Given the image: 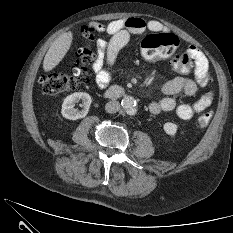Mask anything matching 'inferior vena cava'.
Listing matches in <instances>:
<instances>
[{
    "label": "inferior vena cava",
    "instance_id": "1",
    "mask_svg": "<svg viewBox=\"0 0 233 233\" xmlns=\"http://www.w3.org/2000/svg\"><path fill=\"white\" fill-rule=\"evenodd\" d=\"M120 109V104L116 100H111L105 105V110L108 113H116Z\"/></svg>",
    "mask_w": 233,
    "mask_h": 233
}]
</instances>
